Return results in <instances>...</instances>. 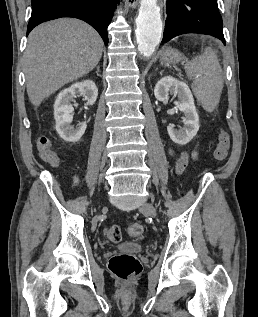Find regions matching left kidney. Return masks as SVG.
Wrapping results in <instances>:
<instances>
[{
	"instance_id": "obj_1",
	"label": "left kidney",
	"mask_w": 258,
	"mask_h": 317,
	"mask_svg": "<svg viewBox=\"0 0 258 317\" xmlns=\"http://www.w3.org/2000/svg\"><path fill=\"white\" fill-rule=\"evenodd\" d=\"M168 92L178 94V102H175L177 108L184 112L183 120L184 126L179 130H175L173 126H167L168 134L173 142L177 144H187L192 140L193 136L199 130V116L194 104L193 94L186 82L177 80L174 76H163L155 84L154 94L157 100H166Z\"/></svg>"
}]
</instances>
